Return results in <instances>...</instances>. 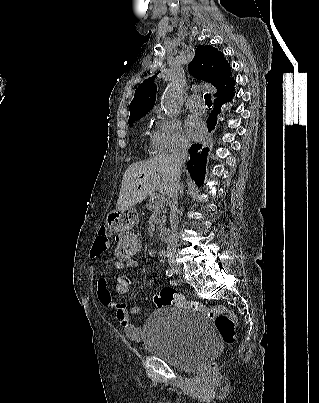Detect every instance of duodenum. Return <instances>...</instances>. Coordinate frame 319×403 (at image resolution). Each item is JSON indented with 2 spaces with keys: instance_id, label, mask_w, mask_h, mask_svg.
Listing matches in <instances>:
<instances>
[{
  "instance_id": "duodenum-1",
  "label": "duodenum",
  "mask_w": 319,
  "mask_h": 403,
  "mask_svg": "<svg viewBox=\"0 0 319 403\" xmlns=\"http://www.w3.org/2000/svg\"><path fill=\"white\" fill-rule=\"evenodd\" d=\"M159 236L164 243H170V230L168 228L159 229Z\"/></svg>"
}]
</instances>
